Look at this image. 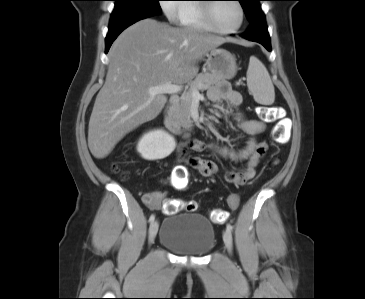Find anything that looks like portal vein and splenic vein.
Wrapping results in <instances>:
<instances>
[{
  "mask_svg": "<svg viewBox=\"0 0 365 299\" xmlns=\"http://www.w3.org/2000/svg\"><path fill=\"white\" fill-rule=\"evenodd\" d=\"M182 91V86L177 84H172L171 82H168L164 85L157 86V87H151L148 90V93L152 96L158 95V94H175ZM200 96L198 89L192 90V97L197 98Z\"/></svg>",
  "mask_w": 365,
  "mask_h": 299,
  "instance_id": "obj_1",
  "label": "portal vein and splenic vein"
}]
</instances>
